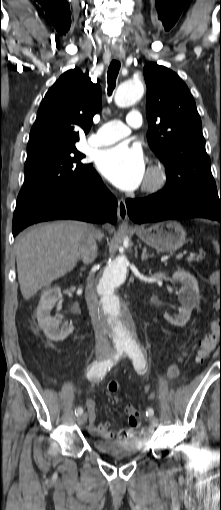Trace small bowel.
Returning <instances> with one entry per match:
<instances>
[{
    "instance_id": "small-bowel-1",
    "label": "small bowel",
    "mask_w": 221,
    "mask_h": 510,
    "mask_svg": "<svg viewBox=\"0 0 221 510\" xmlns=\"http://www.w3.org/2000/svg\"><path fill=\"white\" fill-rule=\"evenodd\" d=\"M183 357L181 358V360ZM168 375L171 378H175L178 375V367L176 365H170L168 367ZM85 406L87 409L88 417V429L90 433L101 438V439H126L131 438L136 434V427L138 426V415L136 409L128 405L125 407V412L128 416V426L117 431L110 430V423L104 422L101 424L96 423V407L97 404L93 399H86Z\"/></svg>"
}]
</instances>
